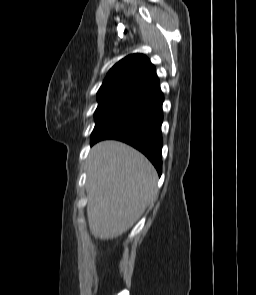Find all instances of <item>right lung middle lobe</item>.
I'll return each instance as SVG.
<instances>
[{
	"label": "right lung middle lobe",
	"instance_id": "1",
	"mask_svg": "<svg viewBox=\"0 0 256 295\" xmlns=\"http://www.w3.org/2000/svg\"><path fill=\"white\" fill-rule=\"evenodd\" d=\"M134 98L114 99L98 104L94 113L95 127L91 136L97 134L111 119L119 114Z\"/></svg>",
	"mask_w": 256,
	"mask_h": 295
}]
</instances>
